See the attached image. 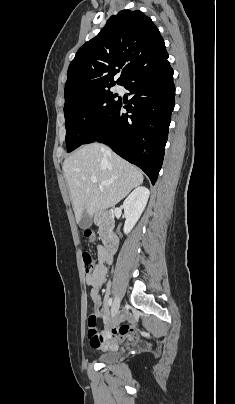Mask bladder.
Returning a JSON list of instances; mask_svg holds the SVG:
<instances>
[{"label":"bladder","instance_id":"bladder-1","mask_svg":"<svg viewBox=\"0 0 235 404\" xmlns=\"http://www.w3.org/2000/svg\"><path fill=\"white\" fill-rule=\"evenodd\" d=\"M120 358V352L117 350L104 351L98 355L97 360L101 363H115Z\"/></svg>","mask_w":235,"mask_h":404}]
</instances>
